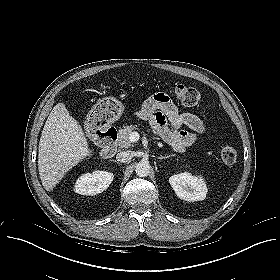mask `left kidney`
I'll return each mask as SVG.
<instances>
[{
	"label": "left kidney",
	"instance_id": "obj_1",
	"mask_svg": "<svg viewBox=\"0 0 280 280\" xmlns=\"http://www.w3.org/2000/svg\"><path fill=\"white\" fill-rule=\"evenodd\" d=\"M169 183L180 199L193 202L206 198L207 186L201 176H193L189 172H183L171 176Z\"/></svg>",
	"mask_w": 280,
	"mask_h": 280
}]
</instances>
